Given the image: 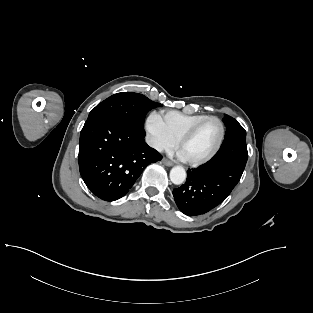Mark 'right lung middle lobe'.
I'll return each instance as SVG.
<instances>
[{"label":"right lung middle lobe","instance_id":"right-lung-middle-lobe-1","mask_svg":"<svg viewBox=\"0 0 313 313\" xmlns=\"http://www.w3.org/2000/svg\"><path fill=\"white\" fill-rule=\"evenodd\" d=\"M159 106H161L160 103L153 102L142 94L121 92L99 103L90 112L87 121L100 116H112L127 122L139 130H143L146 114L152 108Z\"/></svg>","mask_w":313,"mask_h":313}]
</instances>
